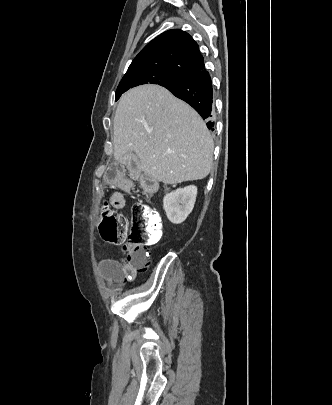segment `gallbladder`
Instances as JSON below:
<instances>
[{
  "mask_svg": "<svg viewBox=\"0 0 332 405\" xmlns=\"http://www.w3.org/2000/svg\"><path fill=\"white\" fill-rule=\"evenodd\" d=\"M127 157H131V158H133L135 161H138V158H137L134 154H132V153L127 154Z\"/></svg>",
  "mask_w": 332,
  "mask_h": 405,
  "instance_id": "obj_1",
  "label": "gallbladder"
}]
</instances>
